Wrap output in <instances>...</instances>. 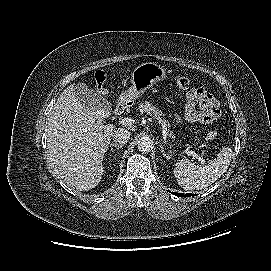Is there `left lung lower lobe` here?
I'll return each instance as SVG.
<instances>
[{
    "instance_id": "0a47b994",
    "label": "left lung lower lobe",
    "mask_w": 271,
    "mask_h": 271,
    "mask_svg": "<svg viewBox=\"0 0 271 271\" xmlns=\"http://www.w3.org/2000/svg\"><path fill=\"white\" fill-rule=\"evenodd\" d=\"M174 195L179 196V197H190L193 196V194L187 193V194H181V193H174L172 192Z\"/></svg>"
}]
</instances>
